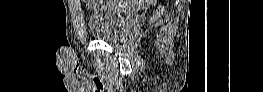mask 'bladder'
<instances>
[{
	"instance_id": "bladder-1",
	"label": "bladder",
	"mask_w": 263,
	"mask_h": 92,
	"mask_svg": "<svg viewBox=\"0 0 263 92\" xmlns=\"http://www.w3.org/2000/svg\"><path fill=\"white\" fill-rule=\"evenodd\" d=\"M105 1L90 18V32L93 37L106 41L118 40L134 25L137 12L129 8L108 6Z\"/></svg>"
}]
</instances>
